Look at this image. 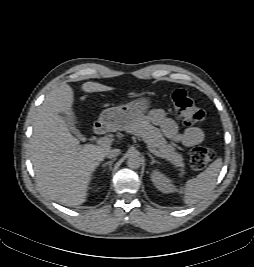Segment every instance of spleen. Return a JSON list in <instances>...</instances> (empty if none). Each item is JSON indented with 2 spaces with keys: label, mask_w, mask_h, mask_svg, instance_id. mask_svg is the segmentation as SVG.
I'll return each mask as SVG.
<instances>
[{
  "label": "spleen",
  "mask_w": 254,
  "mask_h": 267,
  "mask_svg": "<svg viewBox=\"0 0 254 267\" xmlns=\"http://www.w3.org/2000/svg\"><path fill=\"white\" fill-rule=\"evenodd\" d=\"M221 167L222 159L217 158L196 178L189 179L180 188V193L184 194V203L191 205L205 198L214 189Z\"/></svg>",
  "instance_id": "3e777b00"
}]
</instances>
